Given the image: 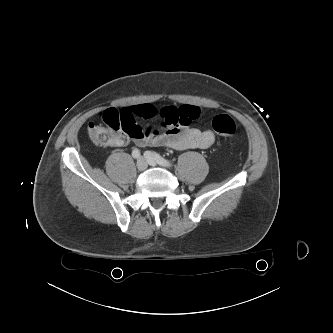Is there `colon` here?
Returning a JSON list of instances; mask_svg holds the SVG:
<instances>
[{"label": "colon", "mask_w": 333, "mask_h": 333, "mask_svg": "<svg viewBox=\"0 0 333 333\" xmlns=\"http://www.w3.org/2000/svg\"><path fill=\"white\" fill-rule=\"evenodd\" d=\"M101 124H89L87 128L90 139L100 146H111L119 132L133 134L137 131L135 116L128 110L114 108L102 112ZM212 129L219 135L230 137L236 133L235 121L226 114L216 115L211 122Z\"/></svg>", "instance_id": "5ec220e1"}]
</instances>
